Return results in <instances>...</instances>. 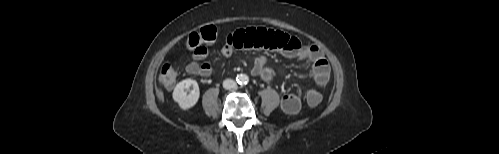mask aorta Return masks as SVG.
I'll return each mask as SVG.
<instances>
[{"instance_id":"obj_1","label":"aorta","mask_w":499,"mask_h":154,"mask_svg":"<svg viewBox=\"0 0 499 154\" xmlns=\"http://www.w3.org/2000/svg\"><path fill=\"white\" fill-rule=\"evenodd\" d=\"M248 80H249V78H248V76H247V75H240V76L238 77V82H239L240 84H246V83L248 82Z\"/></svg>"}]
</instances>
